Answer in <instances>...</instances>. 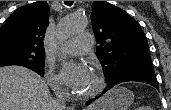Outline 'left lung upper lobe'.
<instances>
[{
  "label": "left lung upper lobe",
  "instance_id": "1",
  "mask_svg": "<svg viewBox=\"0 0 171 110\" xmlns=\"http://www.w3.org/2000/svg\"><path fill=\"white\" fill-rule=\"evenodd\" d=\"M91 22L107 84L129 74L155 75L144 32L126 11L107 1H94Z\"/></svg>",
  "mask_w": 171,
  "mask_h": 110
}]
</instances>
